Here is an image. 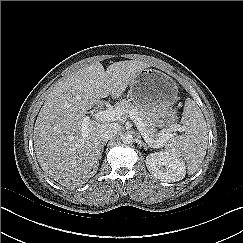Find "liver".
Instances as JSON below:
<instances>
[{
    "label": "liver",
    "mask_w": 243,
    "mask_h": 243,
    "mask_svg": "<svg viewBox=\"0 0 243 243\" xmlns=\"http://www.w3.org/2000/svg\"><path fill=\"white\" fill-rule=\"evenodd\" d=\"M151 64L126 60L104 69L99 62L60 80L48 93L34 126V151L41 168L65 187L76 188L99 167L100 129L109 121L89 119L87 110L100 99L119 98ZM88 126L82 132L83 125Z\"/></svg>",
    "instance_id": "6515ba94"
}]
</instances>
